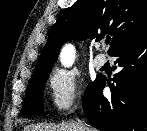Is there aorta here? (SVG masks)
Instances as JSON below:
<instances>
[{
  "mask_svg": "<svg viewBox=\"0 0 147 131\" xmlns=\"http://www.w3.org/2000/svg\"><path fill=\"white\" fill-rule=\"evenodd\" d=\"M75 51L72 45H66L61 52V62L65 67H70L74 61Z\"/></svg>",
  "mask_w": 147,
  "mask_h": 131,
  "instance_id": "1",
  "label": "aorta"
}]
</instances>
